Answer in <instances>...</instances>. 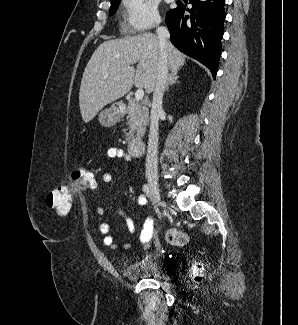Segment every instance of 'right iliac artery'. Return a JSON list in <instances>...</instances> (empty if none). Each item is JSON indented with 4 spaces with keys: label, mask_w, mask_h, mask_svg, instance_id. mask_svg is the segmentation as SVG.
<instances>
[{
    "label": "right iliac artery",
    "mask_w": 298,
    "mask_h": 325,
    "mask_svg": "<svg viewBox=\"0 0 298 325\" xmlns=\"http://www.w3.org/2000/svg\"><path fill=\"white\" fill-rule=\"evenodd\" d=\"M143 191L145 192V194L147 195V197H151V195H150V189H149V186H148V184H145L144 186H143ZM156 212H158V210H156ZM159 213V212H158Z\"/></svg>",
    "instance_id": "obj_1"
}]
</instances>
